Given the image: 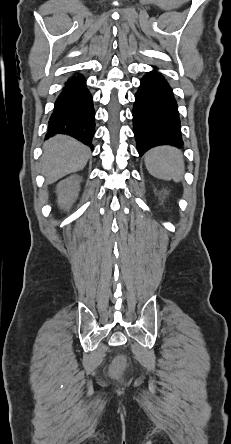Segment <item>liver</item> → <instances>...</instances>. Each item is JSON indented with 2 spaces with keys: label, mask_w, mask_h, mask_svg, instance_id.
<instances>
[{
  "label": "liver",
  "mask_w": 231,
  "mask_h": 444,
  "mask_svg": "<svg viewBox=\"0 0 231 444\" xmlns=\"http://www.w3.org/2000/svg\"><path fill=\"white\" fill-rule=\"evenodd\" d=\"M43 148L42 174L46 177L47 184L83 169L90 157L87 146L64 135H57L46 141Z\"/></svg>",
  "instance_id": "6515ba94"
}]
</instances>
